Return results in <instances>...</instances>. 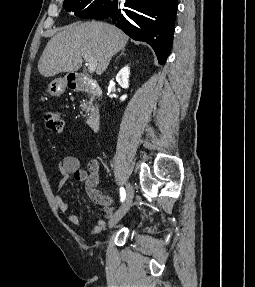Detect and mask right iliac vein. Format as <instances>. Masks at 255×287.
I'll return each instance as SVG.
<instances>
[{
    "mask_svg": "<svg viewBox=\"0 0 255 287\" xmlns=\"http://www.w3.org/2000/svg\"><path fill=\"white\" fill-rule=\"evenodd\" d=\"M133 189L131 185L127 186L126 198L120 208L111 216L109 220V228L114 227L128 212L132 205Z\"/></svg>",
    "mask_w": 255,
    "mask_h": 287,
    "instance_id": "1",
    "label": "right iliac vein"
}]
</instances>
